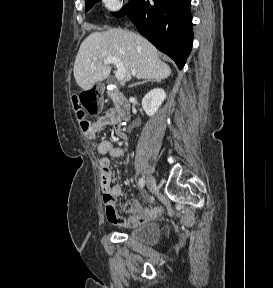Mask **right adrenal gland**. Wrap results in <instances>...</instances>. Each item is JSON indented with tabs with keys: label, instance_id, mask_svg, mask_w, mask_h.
Here are the masks:
<instances>
[{
	"label": "right adrenal gland",
	"instance_id": "2a0ac1e0",
	"mask_svg": "<svg viewBox=\"0 0 273 288\" xmlns=\"http://www.w3.org/2000/svg\"><path fill=\"white\" fill-rule=\"evenodd\" d=\"M155 81H157V80L156 79H144L143 81H140V82L132 84L130 87H134V86H137V85H140V84H144V83H147V82H155Z\"/></svg>",
	"mask_w": 273,
	"mask_h": 288
}]
</instances>
